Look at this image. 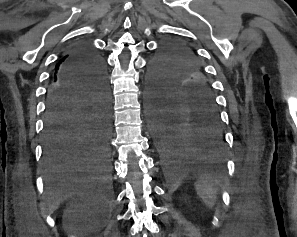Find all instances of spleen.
I'll return each mask as SVG.
<instances>
[{"label": "spleen", "instance_id": "spleen-1", "mask_svg": "<svg viewBox=\"0 0 297 237\" xmlns=\"http://www.w3.org/2000/svg\"><path fill=\"white\" fill-rule=\"evenodd\" d=\"M195 187L204 204L209 208H213L216 194L214 184L207 181H199L195 184Z\"/></svg>", "mask_w": 297, "mask_h": 237}]
</instances>
